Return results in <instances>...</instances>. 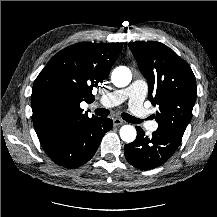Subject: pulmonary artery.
I'll use <instances>...</instances> for the list:
<instances>
[{"label": "pulmonary artery", "mask_w": 217, "mask_h": 217, "mask_svg": "<svg viewBox=\"0 0 217 217\" xmlns=\"http://www.w3.org/2000/svg\"><path fill=\"white\" fill-rule=\"evenodd\" d=\"M146 93V82L143 80H135L125 89L116 90L102 96L99 103L102 107L110 108L127 101L129 111L133 117L144 123L148 130L155 131L158 128V124L155 121H151L149 118V112L143 107Z\"/></svg>", "instance_id": "1"}]
</instances>
